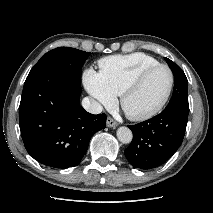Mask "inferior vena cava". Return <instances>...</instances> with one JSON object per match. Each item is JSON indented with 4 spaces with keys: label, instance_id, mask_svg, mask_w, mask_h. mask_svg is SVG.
Segmentation results:
<instances>
[{
    "label": "inferior vena cava",
    "instance_id": "602c4592",
    "mask_svg": "<svg viewBox=\"0 0 213 213\" xmlns=\"http://www.w3.org/2000/svg\"><path fill=\"white\" fill-rule=\"evenodd\" d=\"M83 108L92 114H99L103 111L102 105L93 98L85 97L82 100Z\"/></svg>",
    "mask_w": 213,
    "mask_h": 213
}]
</instances>
